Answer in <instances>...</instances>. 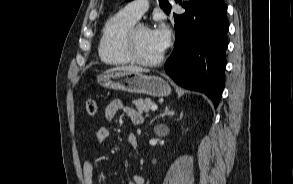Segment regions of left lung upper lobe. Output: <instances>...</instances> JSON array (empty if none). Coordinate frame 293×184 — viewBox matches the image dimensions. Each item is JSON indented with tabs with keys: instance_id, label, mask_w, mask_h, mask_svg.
Segmentation results:
<instances>
[{
	"instance_id": "5c2ea615",
	"label": "left lung upper lobe",
	"mask_w": 293,
	"mask_h": 184,
	"mask_svg": "<svg viewBox=\"0 0 293 184\" xmlns=\"http://www.w3.org/2000/svg\"><path fill=\"white\" fill-rule=\"evenodd\" d=\"M127 1H131V0H127ZM159 4H160L161 8L166 13H169L170 12V5L168 4L167 0H159Z\"/></svg>"
}]
</instances>
